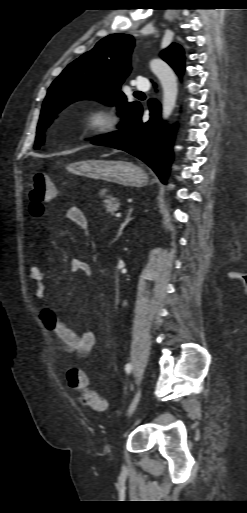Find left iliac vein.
<instances>
[{"mask_svg": "<svg viewBox=\"0 0 247 513\" xmlns=\"http://www.w3.org/2000/svg\"><path fill=\"white\" fill-rule=\"evenodd\" d=\"M140 398H141V389L139 388L130 404V407L128 410V417H130L133 414V412L135 411V409L137 408Z\"/></svg>", "mask_w": 247, "mask_h": 513, "instance_id": "obj_1", "label": "left iliac vein"}]
</instances>
